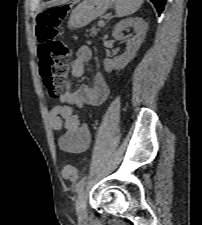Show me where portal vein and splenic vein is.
<instances>
[{"label": "portal vein and splenic vein", "instance_id": "1", "mask_svg": "<svg viewBox=\"0 0 202 225\" xmlns=\"http://www.w3.org/2000/svg\"><path fill=\"white\" fill-rule=\"evenodd\" d=\"M105 25V22L103 20H100L98 22V26L103 27Z\"/></svg>", "mask_w": 202, "mask_h": 225}]
</instances>
